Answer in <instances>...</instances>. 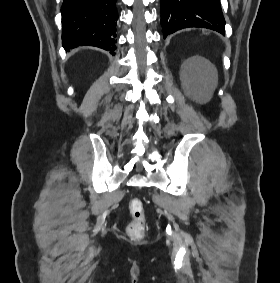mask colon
I'll return each instance as SVG.
<instances>
[{"mask_svg":"<svg viewBox=\"0 0 280 283\" xmlns=\"http://www.w3.org/2000/svg\"><path fill=\"white\" fill-rule=\"evenodd\" d=\"M131 221L127 226V234L133 238H141L145 230V212L140 199H132L129 203Z\"/></svg>","mask_w":280,"mask_h":283,"instance_id":"colon-1","label":"colon"}]
</instances>
